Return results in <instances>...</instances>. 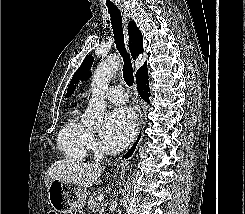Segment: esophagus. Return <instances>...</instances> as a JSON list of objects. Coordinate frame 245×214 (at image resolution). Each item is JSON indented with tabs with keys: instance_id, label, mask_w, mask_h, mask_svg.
Segmentation results:
<instances>
[{
	"instance_id": "1",
	"label": "esophagus",
	"mask_w": 245,
	"mask_h": 214,
	"mask_svg": "<svg viewBox=\"0 0 245 214\" xmlns=\"http://www.w3.org/2000/svg\"><path fill=\"white\" fill-rule=\"evenodd\" d=\"M119 8L122 13L123 18V24H124V34H125V45L128 46V34H127V26L128 23L131 20L130 14L128 13V10L123 6L119 5ZM136 103L141 104V100L139 97H136ZM143 129H144V122H143V115L140 114L139 118V127L136 132V136L130 145V147L118 158V162H128L137 152L138 147L143 139Z\"/></svg>"
}]
</instances>
